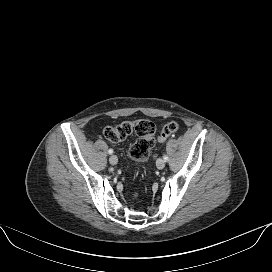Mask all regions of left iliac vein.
Wrapping results in <instances>:
<instances>
[{"instance_id":"left-iliac-vein-1","label":"left iliac vein","mask_w":272,"mask_h":272,"mask_svg":"<svg viewBox=\"0 0 272 272\" xmlns=\"http://www.w3.org/2000/svg\"><path fill=\"white\" fill-rule=\"evenodd\" d=\"M156 166L158 169H163L165 167V161L162 158L157 159Z\"/></svg>"}]
</instances>
